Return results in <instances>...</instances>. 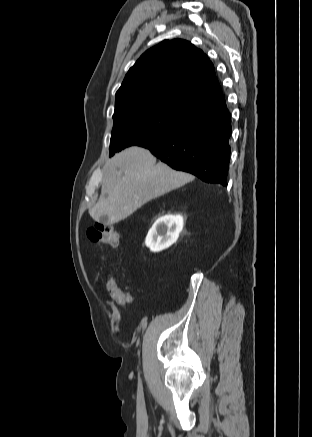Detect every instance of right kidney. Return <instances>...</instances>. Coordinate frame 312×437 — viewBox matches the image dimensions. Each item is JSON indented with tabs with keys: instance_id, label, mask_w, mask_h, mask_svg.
<instances>
[{
	"instance_id": "1",
	"label": "right kidney",
	"mask_w": 312,
	"mask_h": 437,
	"mask_svg": "<svg viewBox=\"0 0 312 437\" xmlns=\"http://www.w3.org/2000/svg\"><path fill=\"white\" fill-rule=\"evenodd\" d=\"M181 215H166L159 218L149 230L145 244L153 252L162 251L174 244L183 229Z\"/></svg>"
}]
</instances>
